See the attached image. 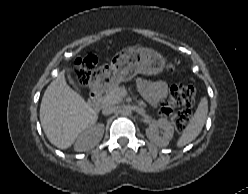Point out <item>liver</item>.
Listing matches in <instances>:
<instances>
[{"label":"liver","mask_w":248,"mask_h":194,"mask_svg":"<svg viewBox=\"0 0 248 194\" xmlns=\"http://www.w3.org/2000/svg\"><path fill=\"white\" fill-rule=\"evenodd\" d=\"M97 119V112L70 88L61 71L45 90L40 105V122L48 140L59 149H68Z\"/></svg>","instance_id":"obj_1"}]
</instances>
